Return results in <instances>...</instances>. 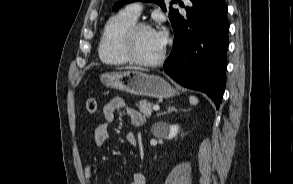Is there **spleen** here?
I'll return each instance as SVG.
<instances>
[{"label": "spleen", "instance_id": "spleen-1", "mask_svg": "<svg viewBox=\"0 0 293 184\" xmlns=\"http://www.w3.org/2000/svg\"><path fill=\"white\" fill-rule=\"evenodd\" d=\"M189 102L191 105H196V104H198L199 101L195 96H190Z\"/></svg>", "mask_w": 293, "mask_h": 184}]
</instances>
